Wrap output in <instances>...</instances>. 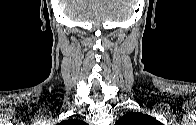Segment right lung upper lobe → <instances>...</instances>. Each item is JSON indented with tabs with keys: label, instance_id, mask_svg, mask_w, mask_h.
<instances>
[{
	"label": "right lung upper lobe",
	"instance_id": "1",
	"mask_svg": "<svg viewBox=\"0 0 196 125\" xmlns=\"http://www.w3.org/2000/svg\"><path fill=\"white\" fill-rule=\"evenodd\" d=\"M72 121H73L72 119L65 120V121H63V124H67V123H70V122H72Z\"/></svg>",
	"mask_w": 196,
	"mask_h": 125
}]
</instances>
